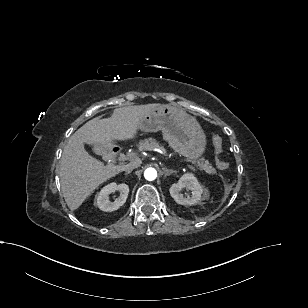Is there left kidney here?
<instances>
[{
	"label": "left kidney",
	"instance_id": "5707ae66",
	"mask_svg": "<svg viewBox=\"0 0 308 308\" xmlns=\"http://www.w3.org/2000/svg\"><path fill=\"white\" fill-rule=\"evenodd\" d=\"M190 190L191 196L184 197L181 193L182 189ZM171 197L181 205H194L202 200V195L205 196L203 187L200 185L196 177L192 174L183 175L178 183L173 184L170 189Z\"/></svg>",
	"mask_w": 308,
	"mask_h": 308
}]
</instances>
